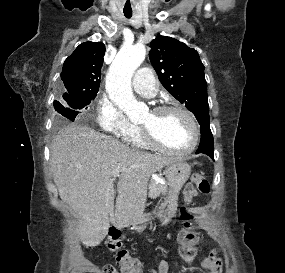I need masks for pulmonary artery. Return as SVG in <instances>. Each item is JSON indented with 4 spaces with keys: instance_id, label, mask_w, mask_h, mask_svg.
<instances>
[{
    "instance_id": "pulmonary-artery-1",
    "label": "pulmonary artery",
    "mask_w": 285,
    "mask_h": 273,
    "mask_svg": "<svg viewBox=\"0 0 285 273\" xmlns=\"http://www.w3.org/2000/svg\"><path fill=\"white\" fill-rule=\"evenodd\" d=\"M132 86L135 91L147 97L155 96L158 90V84L152 70L147 67H142L136 71L132 79Z\"/></svg>"
}]
</instances>
